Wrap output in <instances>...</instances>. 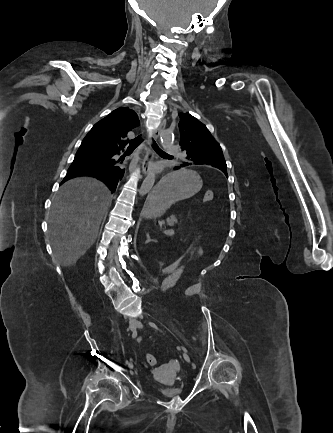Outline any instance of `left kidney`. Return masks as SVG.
Returning a JSON list of instances; mask_svg holds the SVG:
<instances>
[{"label":"left kidney","mask_w":333,"mask_h":433,"mask_svg":"<svg viewBox=\"0 0 333 433\" xmlns=\"http://www.w3.org/2000/svg\"><path fill=\"white\" fill-rule=\"evenodd\" d=\"M171 232H172V234L174 233V231H173V230H171Z\"/></svg>","instance_id":"5707ae66"}]
</instances>
